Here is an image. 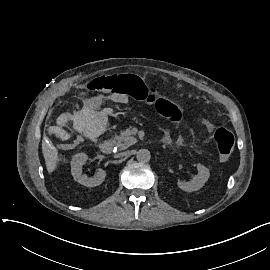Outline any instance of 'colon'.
Here are the masks:
<instances>
[{
	"label": "colon",
	"mask_w": 270,
	"mask_h": 270,
	"mask_svg": "<svg viewBox=\"0 0 270 270\" xmlns=\"http://www.w3.org/2000/svg\"><path fill=\"white\" fill-rule=\"evenodd\" d=\"M89 88L94 93H120L144 101L154 105L162 116L174 122H180L184 118L183 107L174 101L166 100L156 89L148 87L134 74L94 76L89 81ZM212 137L219 154V161L228 163L235 145L233 133L225 127H220L214 131Z\"/></svg>",
	"instance_id": "obj_1"
}]
</instances>
